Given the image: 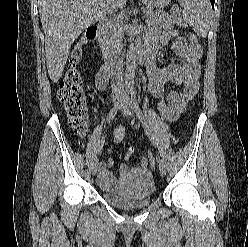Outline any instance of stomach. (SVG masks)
Listing matches in <instances>:
<instances>
[{"label": "stomach", "mask_w": 248, "mask_h": 247, "mask_svg": "<svg viewBox=\"0 0 248 247\" xmlns=\"http://www.w3.org/2000/svg\"><path fill=\"white\" fill-rule=\"evenodd\" d=\"M149 9L162 8L169 3V0H141Z\"/></svg>", "instance_id": "1"}]
</instances>
